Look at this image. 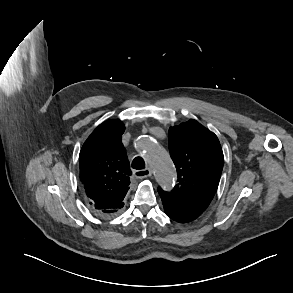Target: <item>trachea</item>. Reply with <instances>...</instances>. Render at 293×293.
<instances>
[{
	"label": "trachea",
	"instance_id": "1",
	"mask_svg": "<svg viewBox=\"0 0 293 293\" xmlns=\"http://www.w3.org/2000/svg\"><path fill=\"white\" fill-rule=\"evenodd\" d=\"M132 168L136 170H142L145 168V163L141 157H135L132 161Z\"/></svg>",
	"mask_w": 293,
	"mask_h": 293
}]
</instances>
